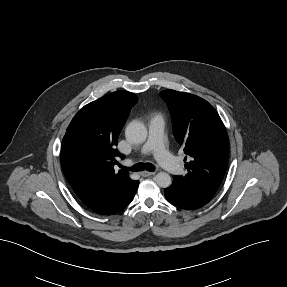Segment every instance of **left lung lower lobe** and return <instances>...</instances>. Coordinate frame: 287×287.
I'll list each match as a JSON object with an SVG mask.
<instances>
[{"mask_svg":"<svg viewBox=\"0 0 287 287\" xmlns=\"http://www.w3.org/2000/svg\"><path fill=\"white\" fill-rule=\"evenodd\" d=\"M171 186L164 190L166 199L173 205L185 209H198L207 204L215 193L173 177Z\"/></svg>","mask_w":287,"mask_h":287,"instance_id":"obj_1","label":"left lung lower lobe"}]
</instances>
